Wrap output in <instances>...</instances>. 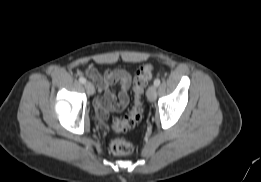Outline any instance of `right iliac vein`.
<instances>
[{
	"label": "right iliac vein",
	"mask_w": 261,
	"mask_h": 182,
	"mask_svg": "<svg viewBox=\"0 0 261 182\" xmlns=\"http://www.w3.org/2000/svg\"><path fill=\"white\" fill-rule=\"evenodd\" d=\"M85 88L89 95H93L95 93L94 85L91 82H86Z\"/></svg>",
	"instance_id": "63e3f726"
}]
</instances>
